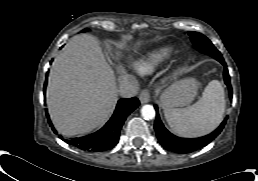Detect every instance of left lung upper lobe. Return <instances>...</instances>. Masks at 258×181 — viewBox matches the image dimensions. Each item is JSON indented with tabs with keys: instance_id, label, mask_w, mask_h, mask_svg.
Returning <instances> with one entry per match:
<instances>
[{
	"instance_id": "5c2ea615",
	"label": "left lung upper lobe",
	"mask_w": 258,
	"mask_h": 181,
	"mask_svg": "<svg viewBox=\"0 0 258 181\" xmlns=\"http://www.w3.org/2000/svg\"><path fill=\"white\" fill-rule=\"evenodd\" d=\"M192 42L195 47L201 52L207 53L217 59L218 61L223 60L221 53L214 47L211 41L203 34L198 32H189Z\"/></svg>"
}]
</instances>
